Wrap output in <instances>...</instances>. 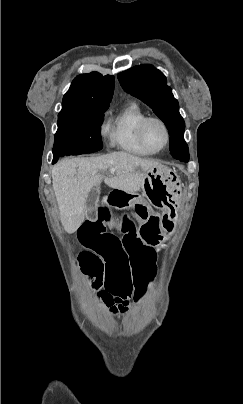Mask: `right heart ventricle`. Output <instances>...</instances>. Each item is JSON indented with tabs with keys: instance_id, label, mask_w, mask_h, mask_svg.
Here are the masks:
<instances>
[{
	"instance_id": "e07e8e85",
	"label": "right heart ventricle",
	"mask_w": 243,
	"mask_h": 404,
	"mask_svg": "<svg viewBox=\"0 0 243 404\" xmlns=\"http://www.w3.org/2000/svg\"><path fill=\"white\" fill-rule=\"evenodd\" d=\"M147 116L141 105L129 101L110 118L114 147L133 156H153L157 153L146 148L139 140L137 126Z\"/></svg>"
}]
</instances>
